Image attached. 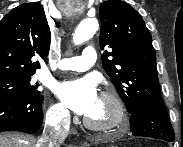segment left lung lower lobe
<instances>
[{"label":"left lung lower lobe","instance_id":"0a47b994","mask_svg":"<svg viewBox=\"0 0 183 147\" xmlns=\"http://www.w3.org/2000/svg\"><path fill=\"white\" fill-rule=\"evenodd\" d=\"M130 128L134 136L174 141V131L163 107H142L131 113Z\"/></svg>","mask_w":183,"mask_h":147}]
</instances>
